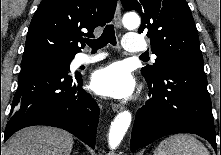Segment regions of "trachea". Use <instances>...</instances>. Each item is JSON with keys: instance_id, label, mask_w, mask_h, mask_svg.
I'll return each mask as SVG.
<instances>
[{"instance_id": "trachea-1", "label": "trachea", "mask_w": 221, "mask_h": 155, "mask_svg": "<svg viewBox=\"0 0 221 155\" xmlns=\"http://www.w3.org/2000/svg\"><path fill=\"white\" fill-rule=\"evenodd\" d=\"M85 42L92 49V52H96L97 50L103 48L108 43L112 45H116V36L113 25H107L102 33V35L98 39H86ZM141 57H146L142 55Z\"/></svg>"}]
</instances>
